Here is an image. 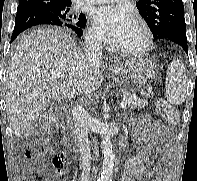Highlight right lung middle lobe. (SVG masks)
I'll list each match as a JSON object with an SVG mask.
<instances>
[{"instance_id": "dd1d6c3e", "label": "right lung middle lobe", "mask_w": 197, "mask_h": 181, "mask_svg": "<svg viewBox=\"0 0 197 181\" xmlns=\"http://www.w3.org/2000/svg\"><path fill=\"white\" fill-rule=\"evenodd\" d=\"M40 6L49 10L52 14L57 16L64 23L73 24L78 27H85L86 25L85 15L80 14L78 17V16L70 15L68 13L70 5L42 4Z\"/></svg>"}]
</instances>
